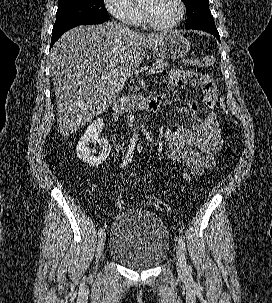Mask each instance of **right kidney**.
<instances>
[{
	"mask_svg": "<svg viewBox=\"0 0 272 303\" xmlns=\"http://www.w3.org/2000/svg\"><path fill=\"white\" fill-rule=\"evenodd\" d=\"M104 122L102 118H97L89 124L84 135L80 138L77 144L76 152L80 160L90 166H99L110 154V144L106 139H100L99 134L102 132ZM99 143L102 150L97 155H92L89 149L91 143Z\"/></svg>",
	"mask_w": 272,
	"mask_h": 303,
	"instance_id": "1",
	"label": "right kidney"
}]
</instances>
